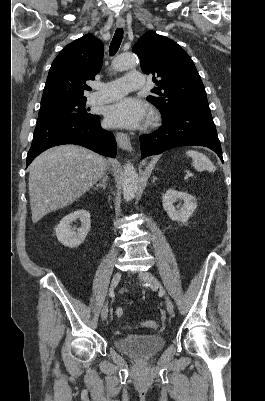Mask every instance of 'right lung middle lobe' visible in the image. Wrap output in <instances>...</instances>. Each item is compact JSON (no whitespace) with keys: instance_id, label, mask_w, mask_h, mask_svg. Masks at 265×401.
<instances>
[{"instance_id":"obj_1","label":"right lung middle lobe","mask_w":265,"mask_h":401,"mask_svg":"<svg viewBox=\"0 0 265 401\" xmlns=\"http://www.w3.org/2000/svg\"><path fill=\"white\" fill-rule=\"evenodd\" d=\"M85 105L86 98L63 99L41 104L37 122L51 118H95V115L87 112Z\"/></svg>"}]
</instances>
